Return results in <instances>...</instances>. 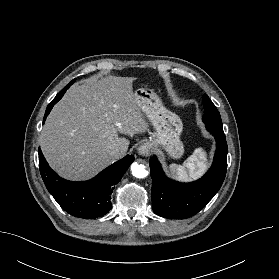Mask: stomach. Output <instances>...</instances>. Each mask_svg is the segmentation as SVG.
I'll return each instance as SVG.
<instances>
[{"instance_id": "0dacf381", "label": "stomach", "mask_w": 279, "mask_h": 279, "mask_svg": "<svg viewBox=\"0 0 279 279\" xmlns=\"http://www.w3.org/2000/svg\"><path fill=\"white\" fill-rule=\"evenodd\" d=\"M134 94L141 109L154 126L155 133L150 140L151 143L154 146H161L170 157L180 158L184 153V146L180 139L183 124L179 116L167 110L150 88H139Z\"/></svg>"}]
</instances>
